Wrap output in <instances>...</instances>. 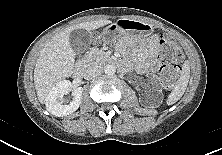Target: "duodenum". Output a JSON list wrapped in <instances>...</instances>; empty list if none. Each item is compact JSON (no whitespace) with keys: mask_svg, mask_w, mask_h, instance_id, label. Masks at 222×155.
Masks as SVG:
<instances>
[{"mask_svg":"<svg viewBox=\"0 0 222 155\" xmlns=\"http://www.w3.org/2000/svg\"><path fill=\"white\" fill-rule=\"evenodd\" d=\"M90 57H91V54H87L85 58H83L80 62L77 63L73 71L74 78L79 79L82 77L86 63L88 62Z\"/></svg>","mask_w":222,"mask_h":155,"instance_id":"duodenum-1","label":"duodenum"}]
</instances>
